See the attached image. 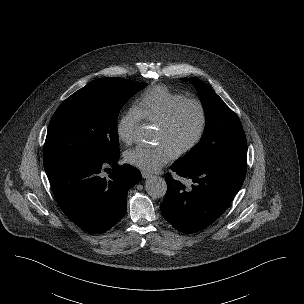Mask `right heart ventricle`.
<instances>
[{"mask_svg":"<svg viewBox=\"0 0 304 304\" xmlns=\"http://www.w3.org/2000/svg\"><path fill=\"white\" fill-rule=\"evenodd\" d=\"M183 98L182 94L165 86H155L139 96L134 108L140 113L142 119L159 124L170 108Z\"/></svg>","mask_w":304,"mask_h":304,"instance_id":"obj_1","label":"right heart ventricle"}]
</instances>
